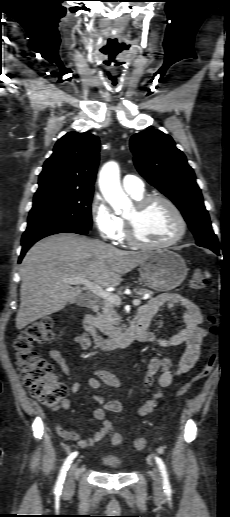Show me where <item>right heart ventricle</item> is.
<instances>
[{
  "label": "right heart ventricle",
  "mask_w": 230,
  "mask_h": 517,
  "mask_svg": "<svg viewBox=\"0 0 230 517\" xmlns=\"http://www.w3.org/2000/svg\"><path fill=\"white\" fill-rule=\"evenodd\" d=\"M131 196H132L135 200H138V199L142 198L144 195H143V193H142L141 195H137V196H135V195H131ZM118 240H119V241H121V242H123V241H125V240H126V230H125V225H124V223H123V229H122V232H121V234H120V236H119Z\"/></svg>",
  "instance_id": "1"
}]
</instances>
